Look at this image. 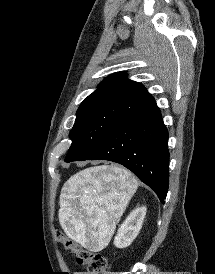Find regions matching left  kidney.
Wrapping results in <instances>:
<instances>
[{
  "mask_svg": "<svg viewBox=\"0 0 215 274\" xmlns=\"http://www.w3.org/2000/svg\"><path fill=\"white\" fill-rule=\"evenodd\" d=\"M146 211V207H138L128 215L114 238V245L117 248H125L131 245L139 234ZM65 230H67V227H65Z\"/></svg>",
  "mask_w": 215,
  "mask_h": 274,
  "instance_id": "left-kidney-1",
  "label": "left kidney"
}]
</instances>
